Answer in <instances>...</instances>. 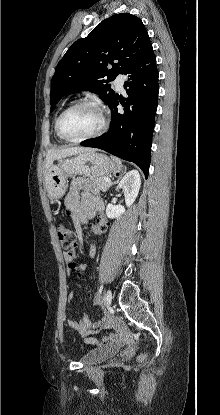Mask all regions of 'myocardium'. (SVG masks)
Instances as JSON below:
<instances>
[{"mask_svg": "<svg viewBox=\"0 0 220 415\" xmlns=\"http://www.w3.org/2000/svg\"><path fill=\"white\" fill-rule=\"evenodd\" d=\"M83 106H91L94 107L95 109H97V111L100 114L101 117V125L99 127V129L87 136L81 137V138H68L66 136L63 135L62 131H61V122L63 120V118L66 116V114H68L69 112H71L72 110L79 108V107H83ZM108 127V119H107V115L106 112L103 108V106L96 100L93 99H85V100H80L72 105H70L69 107H67L57 118L56 123H55V131L57 133V135L63 139L66 142L69 143H79V142H83L86 140H90V139H94L97 138L99 136H101Z\"/></svg>", "mask_w": 220, "mask_h": 415, "instance_id": "1", "label": "myocardium"}]
</instances>
